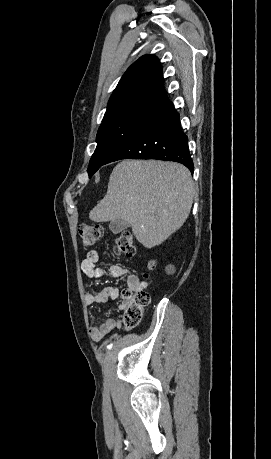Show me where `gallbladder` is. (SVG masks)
Listing matches in <instances>:
<instances>
[{
	"label": "gallbladder",
	"instance_id": "bac80fb5",
	"mask_svg": "<svg viewBox=\"0 0 271 459\" xmlns=\"http://www.w3.org/2000/svg\"><path fill=\"white\" fill-rule=\"evenodd\" d=\"M129 226V222H125V220H112L109 224V229H111L113 233H120V231L129 228Z\"/></svg>",
	"mask_w": 271,
	"mask_h": 459
}]
</instances>
